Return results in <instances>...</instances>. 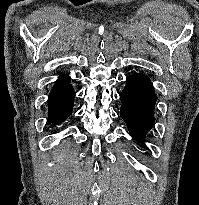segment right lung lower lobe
Masks as SVG:
<instances>
[{
  "mask_svg": "<svg viewBox=\"0 0 199 205\" xmlns=\"http://www.w3.org/2000/svg\"><path fill=\"white\" fill-rule=\"evenodd\" d=\"M69 82L68 75H61L49 93L48 118L54 124L62 123L72 113L75 92Z\"/></svg>",
  "mask_w": 199,
  "mask_h": 205,
  "instance_id": "98d812e1",
  "label": "right lung lower lobe"
}]
</instances>
